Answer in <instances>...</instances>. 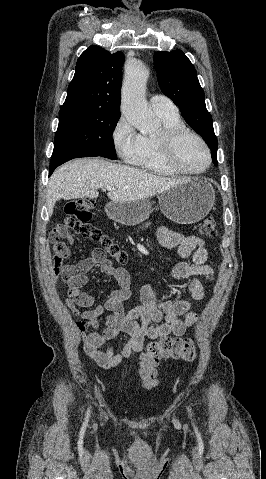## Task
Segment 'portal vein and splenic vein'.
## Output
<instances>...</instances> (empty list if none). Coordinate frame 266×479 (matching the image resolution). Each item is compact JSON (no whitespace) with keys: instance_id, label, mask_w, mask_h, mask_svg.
Segmentation results:
<instances>
[{"instance_id":"portal-vein-and-splenic-vein-1","label":"portal vein and splenic vein","mask_w":266,"mask_h":479,"mask_svg":"<svg viewBox=\"0 0 266 479\" xmlns=\"http://www.w3.org/2000/svg\"><path fill=\"white\" fill-rule=\"evenodd\" d=\"M103 190L111 191V190H114V187H112V186H106L105 188H103Z\"/></svg>"}]
</instances>
